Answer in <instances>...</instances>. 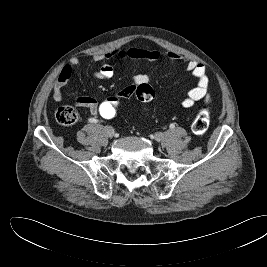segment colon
Here are the masks:
<instances>
[{
	"instance_id": "5ec220e1",
	"label": "colon",
	"mask_w": 267,
	"mask_h": 267,
	"mask_svg": "<svg viewBox=\"0 0 267 267\" xmlns=\"http://www.w3.org/2000/svg\"><path fill=\"white\" fill-rule=\"evenodd\" d=\"M135 96L140 102H150L153 100L155 92L149 84L144 83L135 88ZM123 101L124 99L118 93L109 95L99 102L97 113L104 119H114L120 113ZM55 119L62 125H73L78 120V113L73 107L62 106L56 110ZM209 124V109L204 106L198 111L192 123V131L197 135H202L208 130Z\"/></svg>"
}]
</instances>
